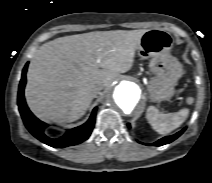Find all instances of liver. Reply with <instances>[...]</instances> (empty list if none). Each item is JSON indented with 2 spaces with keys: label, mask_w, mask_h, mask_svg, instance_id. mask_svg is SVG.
<instances>
[{
  "label": "liver",
  "mask_w": 212,
  "mask_h": 183,
  "mask_svg": "<svg viewBox=\"0 0 212 183\" xmlns=\"http://www.w3.org/2000/svg\"><path fill=\"white\" fill-rule=\"evenodd\" d=\"M147 30L96 31L44 43L28 68L25 97L40 119L57 123L81 118L97 95L129 71Z\"/></svg>",
  "instance_id": "6515ba94"
}]
</instances>
